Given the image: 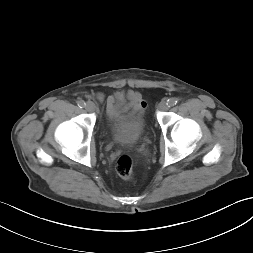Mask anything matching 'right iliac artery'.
Instances as JSON below:
<instances>
[{
  "mask_svg": "<svg viewBox=\"0 0 253 253\" xmlns=\"http://www.w3.org/2000/svg\"><path fill=\"white\" fill-rule=\"evenodd\" d=\"M77 105L80 107V108H83L85 107L86 103L83 101V100H80L77 102Z\"/></svg>",
  "mask_w": 253,
  "mask_h": 253,
  "instance_id": "right-iliac-artery-1",
  "label": "right iliac artery"
}]
</instances>
